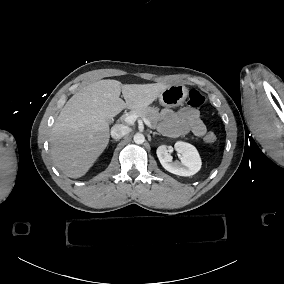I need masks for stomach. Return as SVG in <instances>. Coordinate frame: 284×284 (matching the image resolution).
<instances>
[{
	"mask_svg": "<svg viewBox=\"0 0 284 284\" xmlns=\"http://www.w3.org/2000/svg\"><path fill=\"white\" fill-rule=\"evenodd\" d=\"M188 97V89L182 84L170 85L159 94V102L166 108L182 105Z\"/></svg>",
	"mask_w": 284,
	"mask_h": 284,
	"instance_id": "stomach-1",
	"label": "stomach"
}]
</instances>
